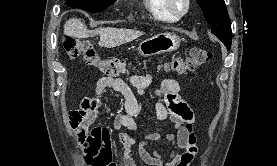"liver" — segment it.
<instances>
[{
  "instance_id": "6515ba94",
  "label": "liver",
  "mask_w": 277,
  "mask_h": 166,
  "mask_svg": "<svg viewBox=\"0 0 277 166\" xmlns=\"http://www.w3.org/2000/svg\"><path fill=\"white\" fill-rule=\"evenodd\" d=\"M64 33L74 38H88L99 34V46L106 48H114L122 44L131 42L144 33L138 30L122 29V28H98L88 30L84 23L77 18H72L66 21L64 25Z\"/></svg>"
}]
</instances>
